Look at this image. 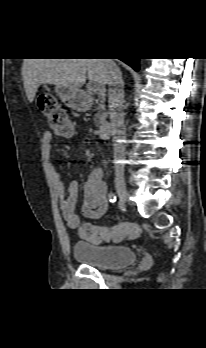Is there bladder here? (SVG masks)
<instances>
[{
  "instance_id": "bladder-1",
  "label": "bladder",
  "mask_w": 206,
  "mask_h": 348,
  "mask_svg": "<svg viewBox=\"0 0 206 348\" xmlns=\"http://www.w3.org/2000/svg\"><path fill=\"white\" fill-rule=\"evenodd\" d=\"M73 255L84 265L113 268L134 263L135 251L123 245L93 244L77 241L73 245Z\"/></svg>"
}]
</instances>
